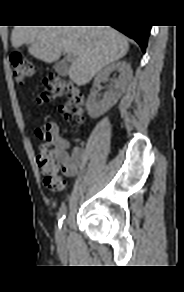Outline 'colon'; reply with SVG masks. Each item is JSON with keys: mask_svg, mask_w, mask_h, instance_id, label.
<instances>
[{"mask_svg": "<svg viewBox=\"0 0 184 292\" xmlns=\"http://www.w3.org/2000/svg\"><path fill=\"white\" fill-rule=\"evenodd\" d=\"M13 78L16 83L23 85L35 77V68L32 63L20 55L10 58ZM65 98L60 107V113L66 120H82L84 117V98L78 88L55 73H50L44 78V88L37 97L41 104L57 99ZM56 125L52 122L44 124L36 130L39 139L42 140L37 163L44 175L45 186L54 192L64 187V180L59 176V165L56 152L49 148Z\"/></svg>", "mask_w": 184, "mask_h": 292, "instance_id": "obj_1", "label": "colon"}]
</instances>
